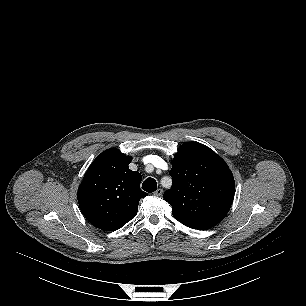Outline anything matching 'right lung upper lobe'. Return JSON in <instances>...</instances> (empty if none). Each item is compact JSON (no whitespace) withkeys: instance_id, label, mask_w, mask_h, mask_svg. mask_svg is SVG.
I'll use <instances>...</instances> for the list:
<instances>
[{"instance_id":"1","label":"right lung upper lobe","mask_w":306,"mask_h":306,"mask_svg":"<svg viewBox=\"0 0 306 306\" xmlns=\"http://www.w3.org/2000/svg\"><path fill=\"white\" fill-rule=\"evenodd\" d=\"M131 156L118 149L101 153L90 165L78 189V202L86 219L104 231H115L135 217L142 175L129 169Z\"/></svg>"}]
</instances>
